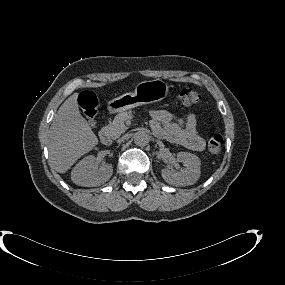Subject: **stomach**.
<instances>
[{
	"label": "stomach",
	"mask_w": 285,
	"mask_h": 285,
	"mask_svg": "<svg viewBox=\"0 0 285 285\" xmlns=\"http://www.w3.org/2000/svg\"><path fill=\"white\" fill-rule=\"evenodd\" d=\"M169 86L161 79L143 81L136 85L133 93H125L107 103L110 113H119L140 105L158 102L167 97Z\"/></svg>",
	"instance_id": "stomach-1"
}]
</instances>
